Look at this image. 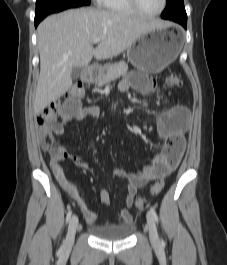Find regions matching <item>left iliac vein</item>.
I'll use <instances>...</instances> for the list:
<instances>
[{"label":"left iliac vein","mask_w":227,"mask_h":265,"mask_svg":"<svg viewBox=\"0 0 227 265\" xmlns=\"http://www.w3.org/2000/svg\"><path fill=\"white\" fill-rule=\"evenodd\" d=\"M147 225H148V231L151 243L154 245H158L160 241L157 233V228L155 225L154 218L150 212L147 213Z\"/></svg>","instance_id":"4c4485c4"}]
</instances>
